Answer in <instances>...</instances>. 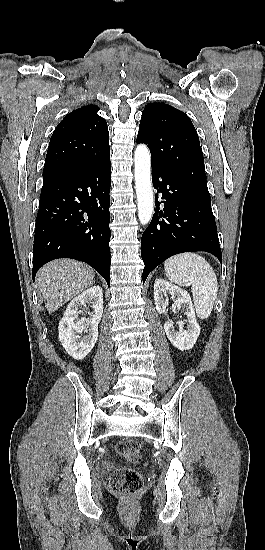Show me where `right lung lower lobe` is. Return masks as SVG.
Wrapping results in <instances>:
<instances>
[{
  "mask_svg": "<svg viewBox=\"0 0 265 550\" xmlns=\"http://www.w3.org/2000/svg\"><path fill=\"white\" fill-rule=\"evenodd\" d=\"M110 157L43 179L33 244V280L57 258L83 261L110 286Z\"/></svg>",
  "mask_w": 265,
  "mask_h": 550,
  "instance_id": "98d812e1",
  "label": "right lung lower lobe"
}]
</instances>
